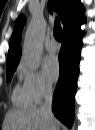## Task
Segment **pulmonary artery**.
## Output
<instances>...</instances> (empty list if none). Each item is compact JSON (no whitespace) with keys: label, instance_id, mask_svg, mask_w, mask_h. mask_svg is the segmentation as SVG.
I'll return each instance as SVG.
<instances>
[{"label":"pulmonary artery","instance_id":"e3ab8cb5","mask_svg":"<svg viewBox=\"0 0 95 130\" xmlns=\"http://www.w3.org/2000/svg\"><path fill=\"white\" fill-rule=\"evenodd\" d=\"M45 48L47 51L54 53L58 51L59 45L54 40H50L45 43Z\"/></svg>","mask_w":95,"mask_h":130}]
</instances>
